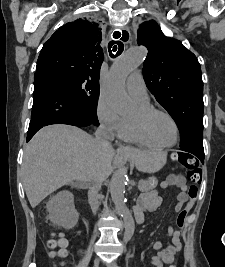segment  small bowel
Listing matches in <instances>:
<instances>
[{
	"label": "small bowel",
	"instance_id": "1",
	"mask_svg": "<svg viewBox=\"0 0 225 267\" xmlns=\"http://www.w3.org/2000/svg\"><path fill=\"white\" fill-rule=\"evenodd\" d=\"M162 188L177 187L181 190L178 196L177 204L175 209L179 211L184 207L187 201V195L185 193L187 185L186 180L182 175H171L166 181L161 185ZM162 199L158 190H153L142 196L136 209L137 213L146 211H155L160 208ZM167 234L170 237V243L167 247L163 248L160 241H156L153 244V248L158 251V254L152 258V264L155 267H163L166 264L171 267L173 257L175 253L179 250L181 244V232L173 229L172 226L168 227Z\"/></svg>",
	"mask_w": 225,
	"mask_h": 267
}]
</instances>
